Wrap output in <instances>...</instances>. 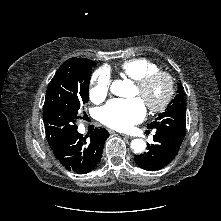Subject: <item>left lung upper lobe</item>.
Segmentation results:
<instances>
[{
  "instance_id": "1",
  "label": "left lung upper lobe",
  "mask_w": 221,
  "mask_h": 221,
  "mask_svg": "<svg viewBox=\"0 0 221 221\" xmlns=\"http://www.w3.org/2000/svg\"><path fill=\"white\" fill-rule=\"evenodd\" d=\"M175 98L167 106L165 112L161 113L155 121L150 123L148 128L164 127L170 129L182 137L186 131V103L184 101L183 86H178V91Z\"/></svg>"
}]
</instances>
